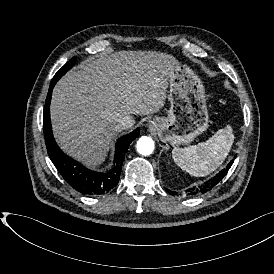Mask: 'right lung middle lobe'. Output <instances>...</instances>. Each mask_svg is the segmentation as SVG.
Wrapping results in <instances>:
<instances>
[{"label": "right lung middle lobe", "instance_id": "obj_1", "mask_svg": "<svg viewBox=\"0 0 274 274\" xmlns=\"http://www.w3.org/2000/svg\"><path fill=\"white\" fill-rule=\"evenodd\" d=\"M75 58L70 59L53 77L52 81H58L74 64Z\"/></svg>", "mask_w": 274, "mask_h": 274}]
</instances>
